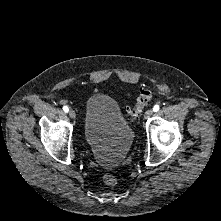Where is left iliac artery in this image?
Masks as SVG:
<instances>
[{"mask_svg": "<svg viewBox=\"0 0 221 221\" xmlns=\"http://www.w3.org/2000/svg\"><path fill=\"white\" fill-rule=\"evenodd\" d=\"M159 110V105H155L154 107H153V111L154 112H157Z\"/></svg>", "mask_w": 221, "mask_h": 221, "instance_id": "1", "label": "left iliac artery"}]
</instances>
